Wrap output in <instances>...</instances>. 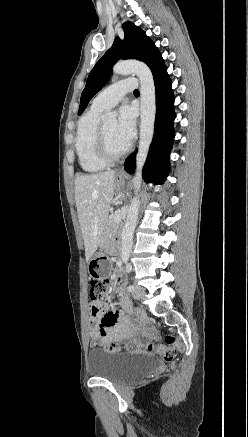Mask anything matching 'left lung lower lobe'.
<instances>
[{
  "label": "left lung lower lobe",
  "mask_w": 248,
  "mask_h": 437,
  "mask_svg": "<svg viewBox=\"0 0 248 437\" xmlns=\"http://www.w3.org/2000/svg\"><path fill=\"white\" fill-rule=\"evenodd\" d=\"M156 89L155 131L149 154L143 169L146 182L162 184L169 172L168 153L174 140L173 124L175 119L174 95L172 82L167 74L166 66L154 75ZM136 151L126 159L125 170L132 174L135 170Z\"/></svg>",
  "instance_id": "left-lung-lower-lobe-1"
}]
</instances>
